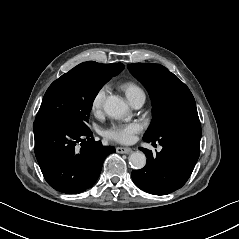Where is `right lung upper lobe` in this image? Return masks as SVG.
<instances>
[{
    "mask_svg": "<svg viewBox=\"0 0 239 239\" xmlns=\"http://www.w3.org/2000/svg\"><path fill=\"white\" fill-rule=\"evenodd\" d=\"M74 68L88 72H98L110 77L111 79V77L118 75L124 69V65L122 63L101 64L88 61L81 63Z\"/></svg>",
    "mask_w": 239,
    "mask_h": 239,
    "instance_id": "1",
    "label": "right lung upper lobe"
}]
</instances>
